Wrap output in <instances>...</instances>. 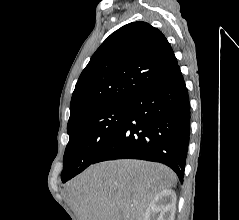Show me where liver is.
<instances>
[{
  "label": "liver",
  "instance_id": "obj_1",
  "mask_svg": "<svg viewBox=\"0 0 239 220\" xmlns=\"http://www.w3.org/2000/svg\"><path fill=\"white\" fill-rule=\"evenodd\" d=\"M176 181L162 164L120 159L91 165L66 190L78 220H144L154 196Z\"/></svg>",
  "mask_w": 239,
  "mask_h": 220
}]
</instances>
